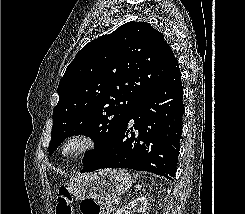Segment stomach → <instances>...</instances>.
<instances>
[{"label": "stomach", "mask_w": 245, "mask_h": 214, "mask_svg": "<svg viewBox=\"0 0 245 214\" xmlns=\"http://www.w3.org/2000/svg\"><path fill=\"white\" fill-rule=\"evenodd\" d=\"M132 185L131 175L123 169H101L78 174L68 182L70 193L79 200L94 199L111 202Z\"/></svg>", "instance_id": "1"}]
</instances>
